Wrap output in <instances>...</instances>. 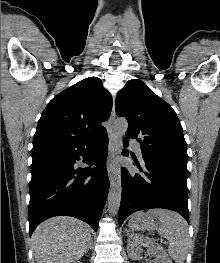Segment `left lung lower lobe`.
<instances>
[{
	"instance_id": "obj_1",
	"label": "left lung lower lobe",
	"mask_w": 220,
	"mask_h": 263,
	"mask_svg": "<svg viewBox=\"0 0 220 263\" xmlns=\"http://www.w3.org/2000/svg\"><path fill=\"white\" fill-rule=\"evenodd\" d=\"M128 145V140L124 139ZM123 155L128 152L123 150ZM142 165L135 161L140 173L129 172L122 168V198L119 210V225L132 213L151 209L164 208L181 214L189 223L187 205V171L142 153Z\"/></svg>"
}]
</instances>
